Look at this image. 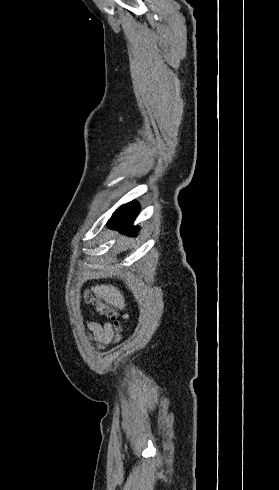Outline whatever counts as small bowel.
<instances>
[{
	"label": "small bowel",
	"instance_id": "c3829d8e",
	"mask_svg": "<svg viewBox=\"0 0 279 490\" xmlns=\"http://www.w3.org/2000/svg\"><path fill=\"white\" fill-rule=\"evenodd\" d=\"M86 327L89 330L88 337L90 340L94 339L96 345L99 348H104L110 344L114 339V329L109 322L98 323L88 320Z\"/></svg>",
	"mask_w": 279,
	"mask_h": 490
}]
</instances>
